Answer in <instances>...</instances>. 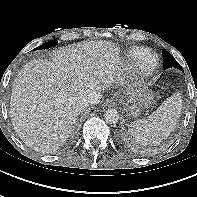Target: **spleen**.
I'll list each match as a JSON object with an SVG mask.
<instances>
[{
    "mask_svg": "<svg viewBox=\"0 0 197 197\" xmlns=\"http://www.w3.org/2000/svg\"><path fill=\"white\" fill-rule=\"evenodd\" d=\"M182 109L179 92L167 98L151 115L130 124V132L136 142L159 144L174 130Z\"/></svg>",
    "mask_w": 197,
    "mask_h": 197,
    "instance_id": "1",
    "label": "spleen"
}]
</instances>
